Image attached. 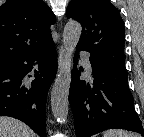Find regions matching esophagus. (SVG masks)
<instances>
[{
  "mask_svg": "<svg viewBox=\"0 0 144 137\" xmlns=\"http://www.w3.org/2000/svg\"><path fill=\"white\" fill-rule=\"evenodd\" d=\"M58 49H59V57H58L59 68L62 69L67 61V53L62 45H60Z\"/></svg>",
  "mask_w": 144,
  "mask_h": 137,
  "instance_id": "esophagus-1",
  "label": "esophagus"
}]
</instances>
